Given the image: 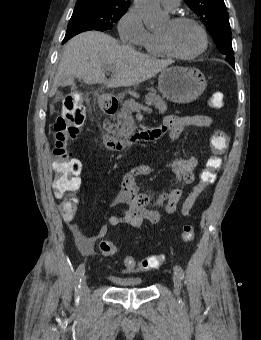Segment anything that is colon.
<instances>
[{"label": "colon", "mask_w": 261, "mask_h": 340, "mask_svg": "<svg viewBox=\"0 0 261 340\" xmlns=\"http://www.w3.org/2000/svg\"><path fill=\"white\" fill-rule=\"evenodd\" d=\"M211 108L219 109L224 105V95L215 92L208 101ZM86 120V108L84 104L74 97H68L63 103L62 115L54 125V147H53V183L52 189L55 196L62 200L61 212L63 215H73L77 206L75 192L80 187L79 173L80 162L73 158L68 143L80 132ZM228 136L222 130H216L210 138V146L216 154H222L228 146ZM221 167V160L218 156L208 159L206 167L200 173L198 186L206 188L212 184L217 177V171ZM181 238L184 242H190L194 238V230L191 225L185 224L182 228ZM100 250L104 256H113L116 245L111 241H103ZM164 260L163 255L154 254L136 260L131 256L124 258L126 270H151L158 268Z\"/></svg>", "instance_id": "obj_1"}]
</instances>
